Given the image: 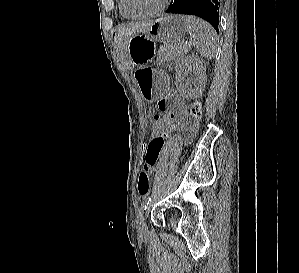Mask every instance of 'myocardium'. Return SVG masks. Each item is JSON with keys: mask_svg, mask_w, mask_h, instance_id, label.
Instances as JSON below:
<instances>
[{"mask_svg": "<svg viewBox=\"0 0 299 273\" xmlns=\"http://www.w3.org/2000/svg\"><path fill=\"white\" fill-rule=\"evenodd\" d=\"M171 0H163L162 3L155 8L154 10L145 12V13H133L131 12L126 6V0H120L121 8L123 12L128 15L130 18H147L158 15L159 13L163 12L167 6L169 5Z\"/></svg>", "mask_w": 299, "mask_h": 273, "instance_id": "obj_1", "label": "myocardium"}]
</instances>
